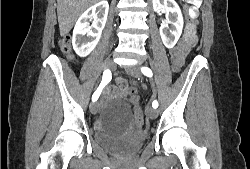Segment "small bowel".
I'll list each match as a JSON object with an SVG mask.
<instances>
[{"instance_id": "1", "label": "small bowel", "mask_w": 250, "mask_h": 169, "mask_svg": "<svg viewBox=\"0 0 250 169\" xmlns=\"http://www.w3.org/2000/svg\"><path fill=\"white\" fill-rule=\"evenodd\" d=\"M192 27H195L192 25ZM194 43H189L186 40L176 48L170 51L171 61L177 62L180 67L184 64L185 59L189 55ZM128 86V81L122 77H117L115 79V85L106 87L103 91V100L105 103H109L113 99L120 97L126 98L127 92L126 88Z\"/></svg>"}]
</instances>
